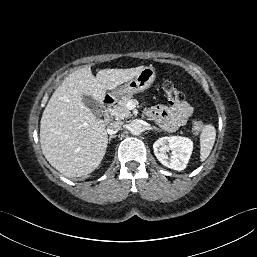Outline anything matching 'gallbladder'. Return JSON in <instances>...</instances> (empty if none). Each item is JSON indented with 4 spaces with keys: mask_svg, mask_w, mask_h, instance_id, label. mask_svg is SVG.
<instances>
[{
    "mask_svg": "<svg viewBox=\"0 0 257 257\" xmlns=\"http://www.w3.org/2000/svg\"><path fill=\"white\" fill-rule=\"evenodd\" d=\"M83 102L86 107H88L92 113L98 117L101 116V105L97 103L92 97L83 95Z\"/></svg>",
    "mask_w": 257,
    "mask_h": 257,
    "instance_id": "obj_1",
    "label": "gallbladder"
}]
</instances>
